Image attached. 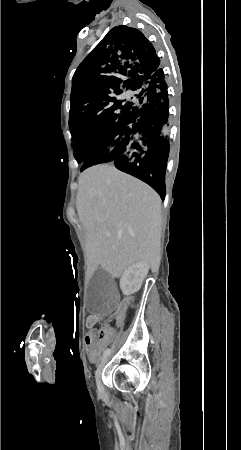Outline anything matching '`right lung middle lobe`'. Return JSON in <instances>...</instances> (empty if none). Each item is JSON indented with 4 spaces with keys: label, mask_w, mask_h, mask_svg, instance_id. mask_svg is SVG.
Returning <instances> with one entry per match:
<instances>
[{
    "label": "right lung middle lobe",
    "mask_w": 241,
    "mask_h": 450,
    "mask_svg": "<svg viewBox=\"0 0 241 450\" xmlns=\"http://www.w3.org/2000/svg\"><path fill=\"white\" fill-rule=\"evenodd\" d=\"M70 102L71 134L73 135L80 125L87 124L91 130L94 146L120 125L135 120L143 113L145 107L142 96L128 97L114 86L94 84L74 77ZM101 127L102 132L99 131ZM143 139L141 134L134 135L114 149L113 157L119 158L132 151ZM75 158L78 163H82L81 171L91 166L84 164L87 157L77 154Z\"/></svg>",
    "instance_id": "1"
}]
</instances>
